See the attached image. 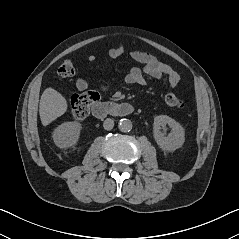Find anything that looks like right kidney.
<instances>
[{
  "mask_svg": "<svg viewBox=\"0 0 239 239\" xmlns=\"http://www.w3.org/2000/svg\"><path fill=\"white\" fill-rule=\"evenodd\" d=\"M81 126L76 122H65L59 125L53 132L54 143L60 147H70L77 143Z\"/></svg>",
  "mask_w": 239,
  "mask_h": 239,
  "instance_id": "ca27d5eb",
  "label": "right kidney"
}]
</instances>
